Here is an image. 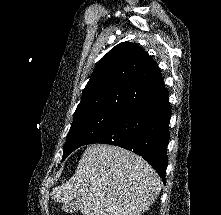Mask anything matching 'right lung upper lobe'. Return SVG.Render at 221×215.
I'll return each instance as SVG.
<instances>
[{"label": "right lung upper lobe", "instance_id": "obj_1", "mask_svg": "<svg viewBox=\"0 0 221 215\" xmlns=\"http://www.w3.org/2000/svg\"><path fill=\"white\" fill-rule=\"evenodd\" d=\"M163 88L152 58L139 45L123 42L97 63L75 113L102 111L123 116Z\"/></svg>", "mask_w": 221, "mask_h": 215}]
</instances>
